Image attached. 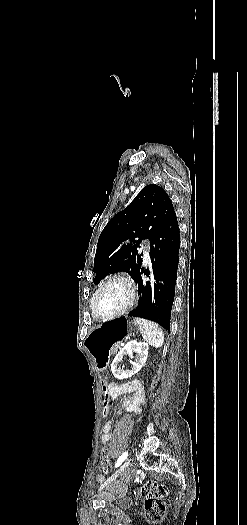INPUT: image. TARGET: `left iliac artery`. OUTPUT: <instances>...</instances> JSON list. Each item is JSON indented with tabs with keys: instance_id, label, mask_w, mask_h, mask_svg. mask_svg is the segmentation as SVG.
<instances>
[{
	"instance_id": "left-iliac-artery-1",
	"label": "left iliac artery",
	"mask_w": 247,
	"mask_h": 525,
	"mask_svg": "<svg viewBox=\"0 0 247 525\" xmlns=\"http://www.w3.org/2000/svg\"><path fill=\"white\" fill-rule=\"evenodd\" d=\"M128 456V452L125 451L117 460L116 464H115V468L119 467L123 462L124 460L127 458Z\"/></svg>"
}]
</instances>
